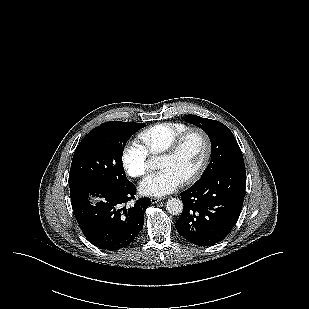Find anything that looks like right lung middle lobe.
<instances>
[{
    "instance_id": "dd1d6c3e",
    "label": "right lung middle lobe",
    "mask_w": 309,
    "mask_h": 309,
    "mask_svg": "<svg viewBox=\"0 0 309 309\" xmlns=\"http://www.w3.org/2000/svg\"><path fill=\"white\" fill-rule=\"evenodd\" d=\"M144 123L110 121L91 130L77 146L69 176L70 188L85 183L123 187L130 183L122 164L128 139Z\"/></svg>"
}]
</instances>
